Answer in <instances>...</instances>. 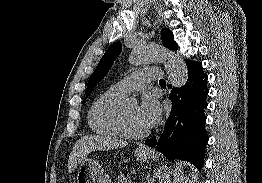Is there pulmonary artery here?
<instances>
[{
    "label": "pulmonary artery",
    "mask_w": 262,
    "mask_h": 183,
    "mask_svg": "<svg viewBox=\"0 0 262 183\" xmlns=\"http://www.w3.org/2000/svg\"><path fill=\"white\" fill-rule=\"evenodd\" d=\"M160 74V70L156 68L137 70L121 79L112 88L122 95H127L134 90L146 87L153 80H158Z\"/></svg>",
    "instance_id": "e3ab8cb5"
}]
</instances>
